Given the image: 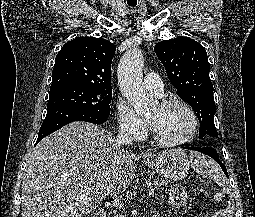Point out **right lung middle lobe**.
<instances>
[{
  "label": "right lung middle lobe",
  "mask_w": 255,
  "mask_h": 217,
  "mask_svg": "<svg viewBox=\"0 0 255 217\" xmlns=\"http://www.w3.org/2000/svg\"><path fill=\"white\" fill-rule=\"evenodd\" d=\"M111 99L112 88L63 84L50 88L47 109L66 106L108 118Z\"/></svg>",
  "instance_id": "obj_1"
}]
</instances>
